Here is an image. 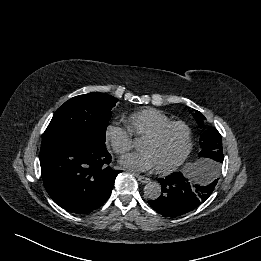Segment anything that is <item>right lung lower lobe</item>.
Returning <instances> with one entry per match:
<instances>
[{"label": "right lung lower lobe", "mask_w": 261, "mask_h": 261, "mask_svg": "<svg viewBox=\"0 0 261 261\" xmlns=\"http://www.w3.org/2000/svg\"><path fill=\"white\" fill-rule=\"evenodd\" d=\"M111 162L105 143L90 138H70L41 145L40 165L44 186L60 207L89 213L111 195L121 172Z\"/></svg>", "instance_id": "98d812e1"}]
</instances>
